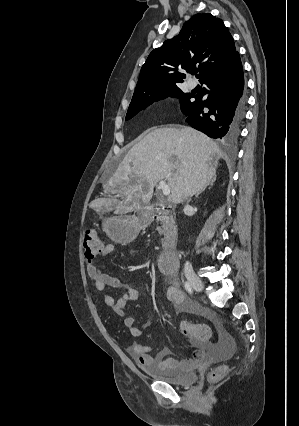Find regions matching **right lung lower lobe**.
I'll list each match as a JSON object with an SVG mask.
<instances>
[{
	"label": "right lung lower lobe",
	"mask_w": 299,
	"mask_h": 426,
	"mask_svg": "<svg viewBox=\"0 0 299 426\" xmlns=\"http://www.w3.org/2000/svg\"><path fill=\"white\" fill-rule=\"evenodd\" d=\"M200 82L207 86L208 96L204 101L192 97L182 110L186 122L211 138H234L245 107L244 76L238 52L225 66L211 71ZM206 108L208 111L204 112Z\"/></svg>",
	"instance_id": "right-lung-lower-lobe-1"
}]
</instances>
